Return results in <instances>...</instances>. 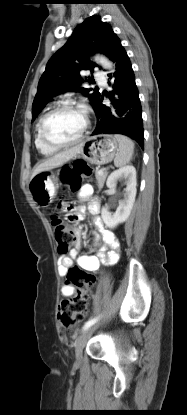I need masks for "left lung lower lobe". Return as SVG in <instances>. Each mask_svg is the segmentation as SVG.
<instances>
[{"instance_id":"0a47b994","label":"left lung lower lobe","mask_w":187,"mask_h":415,"mask_svg":"<svg viewBox=\"0 0 187 415\" xmlns=\"http://www.w3.org/2000/svg\"><path fill=\"white\" fill-rule=\"evenodd\" d=\"M108 57L116 64L113 76L108 74L110 78H114L113 91L106 94L112 107L103 105L104 95L100 96L93 108L97 126L92 135L123 134L134 139L143 148V120L135 75L118 37L113 41Z\"/></svg>"}]
</instances>
